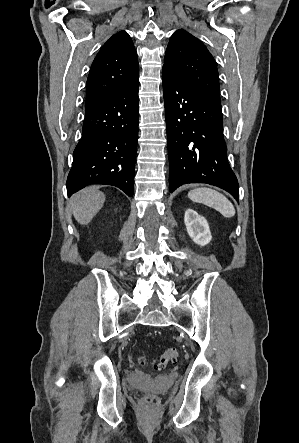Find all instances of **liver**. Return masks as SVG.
Listing matches in <instances>:
<instances>
[{
	"label": "liver",
	"mask_w": 299,
	"mask_h": 443,
	"mask_svg": "<svg viewBox=\"0 0 299 443\" xmlns=\"http://www.w3.org/2000/svg\"><path fill=\"white\" fill-rule=\"evenodd\" d=\"M70 202L75 220L87 225L103 207L105 195L95 187H87L74 194Z\"/></svg>",
	"instance_id": "liver-1"
}]
</instances>
